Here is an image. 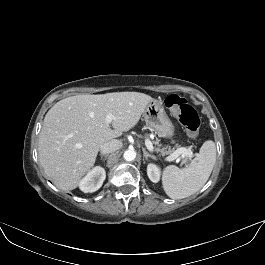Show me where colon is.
<instances>
[{"label": "colon", "instance_id": "5ec220e1", "mask_svg": "<svg viewBox=\"0 0 265 265\" xmlns=\"http://www.w3.org/2000/svg\"><path fill=\"white\" fill-rule=\"evenodd\" d=\"M165 105L178 118L187 134L191 138L196 139L199 134L200 118L197 111L188 101L185 98L173 94L165 99Z\"/></svg>", "mask_w": 265, "mask_h": 265}]
</instances>
